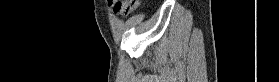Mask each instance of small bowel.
<instances>
[{
  "mask_svg": "<svg viewBox=\"0 0 279 82\" xmlns=\"http://www.w3.org/2000/svg\"><path fill=\"white\" fill-rule=\"evenodd\" d=\"M110 5H111V8L113 9V11L116 14L122 15V16L130 14L138 6L137 5V6L130 7V6H127V5H124V4H112L111 2H110Z\"/></svg>",
  "mask_w": 279,
  "mask_h": 82,
  "instance_id": "obj_1",
  "label": "small bowel"
}]
</instances>
